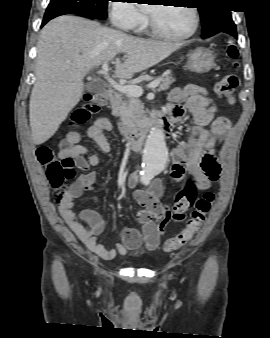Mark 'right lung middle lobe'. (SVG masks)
<instances>
[{
    "label": "right lung middle lobe",
    "mask_w": 270,
    "mask_h": 338,
    "mask_svg": "<svg viewBox=\"0 0 270 338\" xmlns=\"http://www.w3.org/2000/svg\"><path fill=\"white\" fill-rule=\"evenodd\" d=\"M109 0H51L45 15L78 14L82 16L105 19Z\"/></svg>",
    "instance_id": "obj_1"
}]
</instances>
